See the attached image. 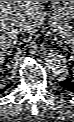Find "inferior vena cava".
Listing matches in <instances>:
<instances>
[{"instance_id": "obj_1", "label": "inferior vena cava", "mask_w": 74, "mask_h": 122, "mask_svg": "<svg viewBox=\"0 0 74 122\" xmlns=\"http://www.w3.org/2000/svg\"><path fill=\"white\" fill-rule=\"evenodd\" d=\"M17 27L20 31L24 29V25L22 23H19Z\"/></svg>"}]
</instances>
